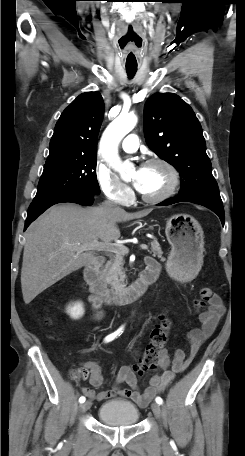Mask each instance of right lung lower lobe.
<instances>
[{"label": "right lung lower lobe", "mask_w": 245, "mask_h": 456, "mask_svg": "<svg viewBox=\"0 0 245 456\" xmlns=\"http://www.w3.org/2000/svg\"><path fill=\"white\" fill-rule=\"evenodd\" d=\"M62 202H72L81 205H92L94 202V195L92 194H68L61 195L54 198L46 199L39 202H32L29 209L28 215L25 222V229L34 221L39 215H41L46 209L50 206L62 203Z\"/></svg>", "instance_id": "right-lung-lower-lobe-1"}]
</instances>
